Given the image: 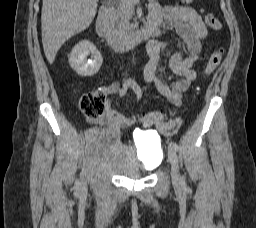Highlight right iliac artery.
<instances>
[{
	"instance_id": "obj_1",
	"label": "right iliac artery",
	"mask_w": 256,
	"mask_h": 228,
	"mask_svg": "<svg viewBox=\"0 0 256 228\" xmlns=\"http://www.w3.org/2000/svg\"><path fill=\"white\" fill-rule=\"evenodd\" d=\"M91 134H92V129L87 130L86 133L84 134V140H86L87 137H91Z\"/></svg>"
}]
</instances>
